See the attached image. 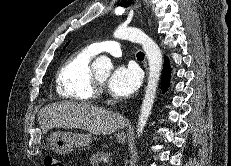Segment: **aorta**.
<instances>
[{"label": "aorta", "mask_w": 231, "mask_h": 166, "mask_svg": "<svg viewBox=\"0 0 231 166\" xmlns=\"http://www.w3.org/2000/svg\"><path fill=\"white\" fill-rule=\"evenodd\" d=\"M114 37L141 44L148 58V84L146 87L145 96L142 102L137 124V136L140 137L150 116L161 76L163 64L161 50L150 37H148L145 33L137 28L120 25L115 30ZM92 67L96 72L102 73L107 76L110 74L113 68L111 60L105 55H101L96 58V60L92 64Z\"/></svg>", "instance_id": "obj_1"}]
</instances>
